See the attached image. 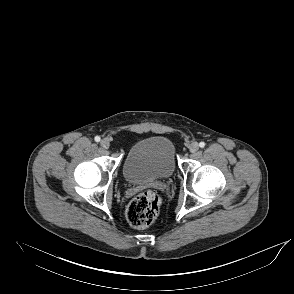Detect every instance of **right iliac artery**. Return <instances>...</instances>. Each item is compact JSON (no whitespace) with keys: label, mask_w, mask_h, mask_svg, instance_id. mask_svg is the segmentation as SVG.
Wrapping results in <instances>:
<instances>
[{"label":"right iliac artery","mask_w":294,"mask_h":294,"mask_svg":"<svg viewBox=\"0 0 294 294\" xmlns=\"http://www.w3.org/2000/svg\"><path fill=\"white\" fill-rule=\"evenodd\" d=\"M94 139L96 142H99L101 140V138L99 136H96Z\"/></svg>","instance_id":"82829eb1"}]
</instances>
